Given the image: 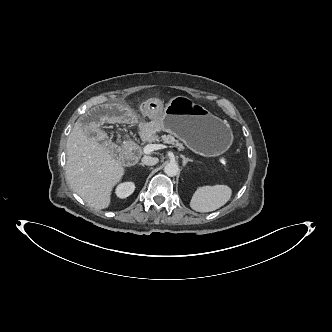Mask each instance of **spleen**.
Segmentation results:
<instances>
[{
  "instance_id": "obj_1",
  "label": "spleen",
  "mask_w": 332,
  "mask_h": 332,
  "mask_svg": "<svg viewBox=\"0 0 332 332\" xmlns=\"http://www.w3.org/2000/svg\"><path fill=\"white\" fill-rule=\"evenodd\" d=\"M231 195L232 189L227 185L202 186L194 192L190 207L201 213L211 212L224 206Z\"/></svg>"
}]
</instances>
